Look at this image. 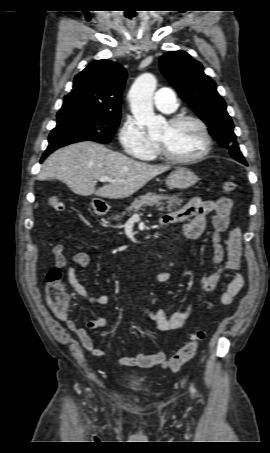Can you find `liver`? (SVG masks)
<instances>
[{"mask_svg": "<svg viewBox=\"0 0 270 453\" xmlns=\"http://www.w3.org/2000/svg\"><path fill=\"white\" fill-rule=\"evenodd\" d=\"M170 166L150 165L91 141L65 146L51 154L37 177L44 181L55 178L72 192L82 196L110 199L127 198ZM106 176L114 180L98 190L96 181Z\"/></svg>", "mask_w": 270, "mask_h": 453, "instance_id": "liver-1", "label": "liver"}]
</instances>
